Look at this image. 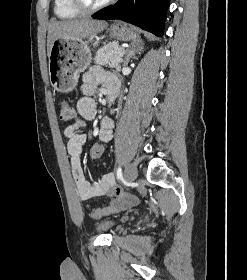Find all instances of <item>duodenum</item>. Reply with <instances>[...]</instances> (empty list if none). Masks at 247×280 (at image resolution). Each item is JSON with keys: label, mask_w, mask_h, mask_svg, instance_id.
Here are the masks:
<instances>
[{"label": "duodenum", "mask_w": 247, "mask_h": 280, "mask_svg": "<svg viewBox=\"0 0 247 280\" xmlns=\"http://www.w3.org/2000/svg\"><path fill=\"white\" fill-rule=\"evenodd\" d=\"M109 95H110V100L113 101L116 96V91L115 90L110 91Z\"/></svg>", "instance_id": "obj_1"}]
</instances>
